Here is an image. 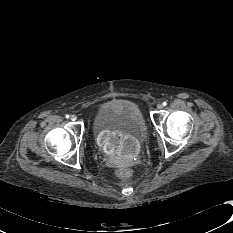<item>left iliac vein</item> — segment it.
Returning a JSON list of instances; mask_svg holds the SVG:
<instances>
[{"mask_svg": "<svg viewBox=\"0 0 233 233\" xmlns=\"http://www.w3.org/2000/svg\"><path fill=\"white\" fill-rule=\"evenodd\" d=\"M162 108H163V105H162V104H160V103H159V104H157V109H159V110H160V109H162Z\"/></svg>", "mask_w": 233, "mask_h": 233, "instance_id": "obj_1", "label": "left iliac vein"}]
</instances>
